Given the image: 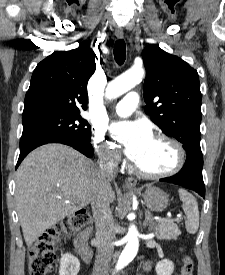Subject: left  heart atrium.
<instances>
[{
	"instance_id": "left-heart-atrium-1",
	"label": "left heart atrium",
	"mask_w": 225,
	"mask_h": 275,
	"mask_svg": "<svg viewBox=\"0 0 225 275\" xmlns=\"http://www.w3.org/2000/svg\"><path fill=\"white\" fill-rule=\"evenodd\" d=\"M111 133L124 148L129 159L136 162L153 138L150 128L142 121H119L110 127Z\"/></svg>"
}]
</instances>
